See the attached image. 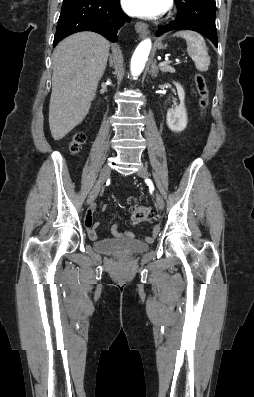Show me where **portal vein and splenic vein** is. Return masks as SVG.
<instances>
[{
    "mask_svg": "<svg viewBox=\"0 0 254 397\" xmlns=\"http://www.w3.org/2000/svg\"><path fill=\"white\" fill-rule=\"evenodd\" d=\"M171 62L166 60V61H162L159 63V67L165 66V65H169Z\"/></svg>",
    "mask_w": 254,
    "mask_h": 397,
    "instance_id": "1",
    "label": "portal vein and splenic vein"
}]
</instances>
